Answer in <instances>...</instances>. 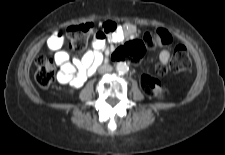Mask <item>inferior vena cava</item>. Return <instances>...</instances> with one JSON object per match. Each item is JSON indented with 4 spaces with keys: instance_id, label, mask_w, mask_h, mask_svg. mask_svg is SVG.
<instances>
[{
    "instance_id": "inferior-vena-cava-1",
    "label": "inferior vena cava",
    "mask_w": 225,
    "mask_h": 155,
    "mask_svg": "<svg viewBox=\"0 0 225 155\" xmlns=\"http://www.w3.org/2000/svg\"><path fill=\"white\" fill-rule=\"evenodd\" d=\"M112 71V67L110 65H102L99 69L98 72L99 73H106V72H111Z\"/></svg>"
}]
</instances>
